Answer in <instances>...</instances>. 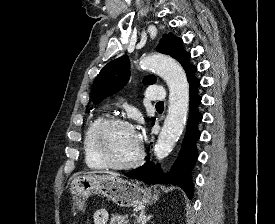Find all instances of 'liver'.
Listing matches in <instances>:
<instances>
[{
  "label": "liver",
  "instance_id": "liver-1",
  "mask_svg": "<svg viewBox=\"0 0 275 224\" xmlns=\"http://www.w3.org/2000/svg\"><path fill=\"white\" fill-rule=\"evenodd\" d=\"M94 173H96V172H91L90 174H94ZM109 175H111V176H114V177H118L119 176V174L118 173H114V172H107Z\"/></svg>",
  "mask_w": 275,
  "mask_h": 224
}]
</instances>
